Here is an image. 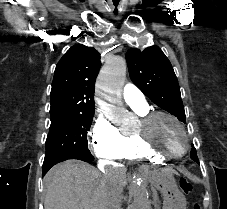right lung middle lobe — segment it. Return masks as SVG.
<instances>
[{
    "instance_id": "dd1d6c3e",
    "label": "right lung middle lobe",
    "mask_w": 227,
    "mask_h": 209,
    "mask_svg": "<svg viewBox=\"0 0 227 209\" xmlns=\"http://www.w3.org/2000/svg\"><path fill=\"white\" fill-rule=\"evenodd\" d=\"M92 105L90 108H85ZM94 101L65 99L50 111L51 125L46 140L43 171H48L50 161L63 155H91L87 145L94 116Z\"/></svg>"
}]
</instances>
